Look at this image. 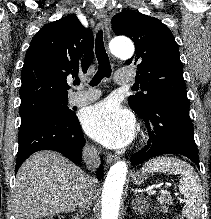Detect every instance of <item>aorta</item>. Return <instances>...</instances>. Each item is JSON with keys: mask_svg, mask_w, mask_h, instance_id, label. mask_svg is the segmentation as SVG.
I'll use <instances>...</instances> for the list:
<instances>
[{"mask_svg": "<svg viewBox=\"0 0 211 219\" xmlns=\"http://www.w3.org/2000/svg\"><path fill=\"white\" fill-rule=\"evenodd\" d=\"M112 52L121 59H129L134 53L133 43L126 39L115 41ZM127 164L125 161H118L111 166L107 174L102 191L101 219H118L121 194L127 175Z\"/></svg>", "mask_w": 211, "mask_h": 219, "instance_id": "1", "label": "aorta"}]
</instances>
